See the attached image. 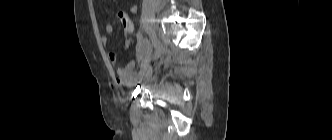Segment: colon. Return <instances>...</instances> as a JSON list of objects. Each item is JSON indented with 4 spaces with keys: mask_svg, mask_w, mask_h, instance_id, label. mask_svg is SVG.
Returning a JSON list of instances; mask_svg holds the SVG:
<instances>
[{
    "mask_svg": "<svg viewBox=\"0 0 332 140\" xmlns=\"http://www.w3.org/2000/svg\"><path fill=\"white\" fill-rule=\"evenodd\" d=\"M116 17H117V20L120 22V24L123 28V31L126 34H130L133 32L134 25H133L131 18L127 14H125L123 12H118L116 14Z\"/></svg>",
    "mask_w": 332,
    "mask_h": 140,
    "instance_id": "obj_1",
    "label": "colon"
}]
</instances>
